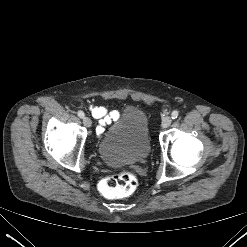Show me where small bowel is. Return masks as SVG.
Returning <instances> with one entry per match:
<instances>
[{"label":"small bowel","instance_id":"small-bowel-1","mask_svg":"<svg viewBox=\"0 0 247 247\" xmlns=\"http://www.w3.org/2000/svg\"><path fill=\"white\" fill-rule=\"evenodd\" d=\"M90 111L92 116L99 120V126L96 129L99 136L104 133L107 124L118 120L120 117L118 110H110L105 106L90 105Z\"/></svg>","mask_w":247,"mask_h":247}]
</instances>
